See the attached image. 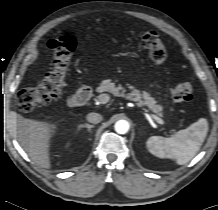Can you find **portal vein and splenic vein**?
Returning <instances> with one entry per match:
<instances>
[{
  "label": "portal vein and splenic vein",
  "instance_id": "obj_1",
  "mask_svg": "<svg viewBox=\"0 0 218 210\" xmlns=\"http://www.w3.org/2000/svg\"><path fill=\"white\" fill-rule=\"evenodd\" d=\"M98 101L99 103H102V104H105L108 102V97L105 95V94H102L98 97ZM138 105V104H137ZM140 106V105H138ZM146 113H148V111L146 109H143ZM149 114V113H148ZM157 123H159L160 125H164V121L159 118L158 116L156 115H153V114H149Z\"/></svg>",
  "mask_w": 218,
  "mask_h": 210
}]
</instances>
